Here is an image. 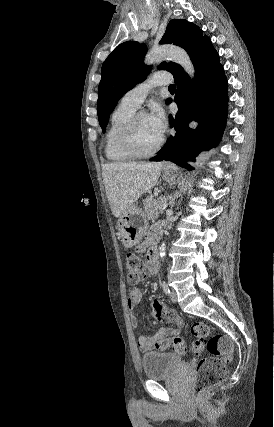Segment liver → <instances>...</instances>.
<instances>
[{
    "label": "liver",
    "instance_id": "6515ba94",
    "mask_svg": "<svg viewBox=\"0 0 274 427\" xmlns=\"http://www.w3.org/2000/svg\"><path fill=\"white\" fill-rule=\"evenodd\" d=\"M162 162L153 164H104L102 178L111 212L121 217L134 202L156 186Z\"/></svg>",
    "mask_w": 274,
    "mask_h": 427
}]
</instances>
